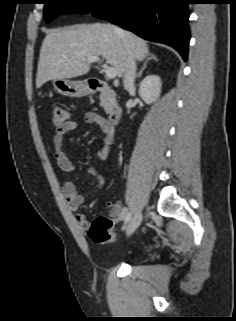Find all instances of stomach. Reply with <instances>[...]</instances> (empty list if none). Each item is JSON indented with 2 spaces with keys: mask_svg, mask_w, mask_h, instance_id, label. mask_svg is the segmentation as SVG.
Here are the masks:
<instances>
[{
  "mask_svg": "<svg viewBox=\"0 0 236 321\" xmlns=\"http://www.w3.org/2000/svg\"><path fill=\"white\" fill-rule=\"evenodd\" d=\"M53 85L55 90L64 96L81 97L90 93V89L86 81L56 79L53 81Z\"/></svg>",
  "mask_w": 236,
  "mask_h": 321,
  "instance_id": "stomach-1",
  "label": "stomach"
}]
</instances>
